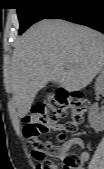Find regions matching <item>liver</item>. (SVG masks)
<instances>
[{
    "label": "liver",
    "mask_w": 104,
    "mask_h": 169,
    "mask_svg": "<svg viewBox=\"0 0 104 169\" xmlns=\"http://www.w3.org/2000/svg\"><path fill=\"white\" fill-rule=\"evenodd\" d=\"M103 66L102 33L62 19H44L19 38L5 83L22 118L49 82L70 92L81 90Z\"/></svg>",
    "instance_id": "1"
}]
</instances>
